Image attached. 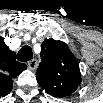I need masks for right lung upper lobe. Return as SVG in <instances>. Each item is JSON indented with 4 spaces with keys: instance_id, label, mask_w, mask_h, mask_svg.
Instances as JSON below:
<instances>
[{
    "instance_id": "1",
    "label": "right lung upper lobe",
    "mask_w": 103,
    "mask_h": 103,
    "mask_svg": "<svg viewBox=\"0 0 103 103\" xmlns=\"http://www.w3.org/2000/svg\"><path fill=\"white\" fill-rule=\"evenodd\" d=\"M26 65L19 63L15 59V53L5 45L4 38L0 37V90L5 95L8 94L12 87V78L19 75Z\"/></svg>"
}]
</instances>
